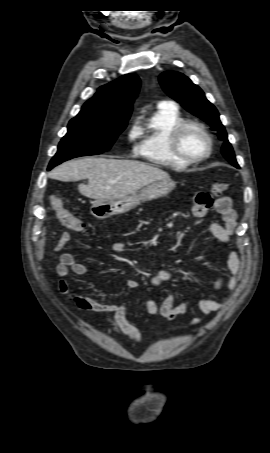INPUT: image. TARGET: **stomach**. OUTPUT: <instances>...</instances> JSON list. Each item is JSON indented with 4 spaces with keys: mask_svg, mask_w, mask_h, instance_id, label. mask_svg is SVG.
I'll return each instance as SVG.
<instances>
[{
    "mask_svg": "<svg viewBox=\"0 0 270 453\" xmlns=\"http://www.w3.org/2000/svg\"><path fill=\"white\" fill-rule=\"evenodd\" d=\"M175 185V182L170 178L162 179L123 198L98 199L92 204L90 212L98 219L123 214L136 207L143 200H151L168 194L174 189Z\"/></svg>",
    "mask_w": 270,
    "mask_h": 453,
    "instance_id": "stomach-1",
    "label": "stomach"
}]
</instances>
